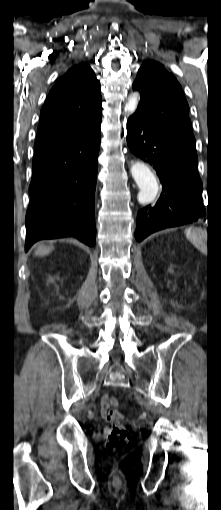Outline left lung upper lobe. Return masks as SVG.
<instances>
[{
  "label": "left lung upper lobe",
  "mask_w": 221,
  "mask_h": 510,
  "mask_svg": "<svg viewBox=\"0 0 221 510\" xmlns=\"http://www.w3.org/2000/svg\"><path fill=\"white\" fill-rule=\"evenodd\" d=\"M133 89L141 93L136 114L162 137L196 152L188 103L176 78L162 64L149 60L139 69Z\"/></svg>",
  "instance_id": "5c2ea615"
}]
</instances>
